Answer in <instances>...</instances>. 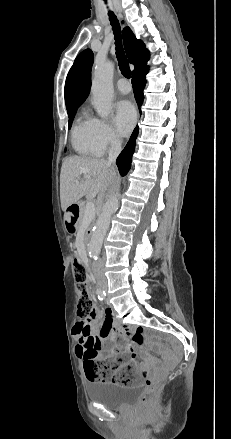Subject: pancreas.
<instances>
[{
    "mask_svg": "<svg viewBox=\"0 0 231 439\" xmlns=\"http://www.w3.org/2000/svg\"><path fill=\"white\" fill-rule=\"evenodd\" d=\"M86 204H87L86 202L80 203V210H81L80 224H82L84 222V219H85Z\"/></svg>",
    "mask_w": 231,
    "mask_h": 439,
    "instance_id": "obj_1",
    "label": "pancreas"
}]
</instances>
